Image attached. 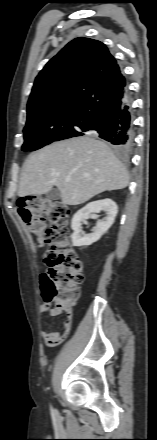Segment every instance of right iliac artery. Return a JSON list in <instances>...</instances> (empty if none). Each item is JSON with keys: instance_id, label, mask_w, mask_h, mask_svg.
Wrapping results in <instances>:
<instances>
[{"instance_id": "1", "label": "right iliac artery", "mask_w": 157, "mask_h": 440, "mask_svg": "<svg viewBox=\"0 0 157 440\" xmlns=\"http://www.w3.org/2000/svg\"><path fill=\"white\" fill-rule=\"evenodd\" d=\"M51 410H52L53 413H55V410H54V409H51Z\"/></svg>"}]
</instances>
